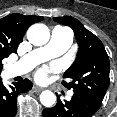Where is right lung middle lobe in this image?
<instances>
[{"label":"right lung middle lobe","instance_id":"dd1d6c3e","mask_svg":"<svg viewBox=\"0 0 117 117\" xmlns=\"http://www.w3.org/2000/svg\"><path fill=\"white\" fill-rule=\"evenodd\" d=\"M6 57H8V54H4V53L0 52V73H1L2 67H3L1 64V61H2V59L6 58Z\"/></svg>","mask_w":117,"mask_h":117}]
</instances>
